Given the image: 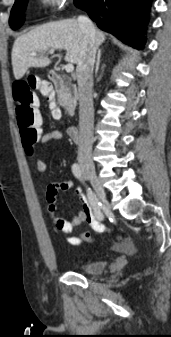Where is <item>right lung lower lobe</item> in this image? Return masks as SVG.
I'll list each match as a JSON object with an SVG mask.
<instances>
[{
    "mask_svg": "<svg viewBox=\"0 0 171 337\" xmlns=\"http://www.w3.org/2000/svg\"><path fill=\"white\" fill-rule=\"evenodd\" d=\"M98 27L124 43L141 49L151 8V0H75Z\"/></svg>",
    "mask_w": 171,
    "mask_h": 337,
    "instance_id": "1",
    "label": "right lung lower lobe"
}]
</instances>
